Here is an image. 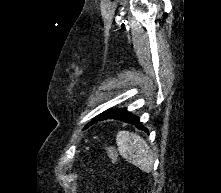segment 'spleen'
I'll list each match as a JSON object with an SVG mask.
<instances>
[{
	"label": "spleen",
	"instance_id": "1",
	"mask_svg": "<svg viewBox=\"0 0 221 193\" xmlns=\"http://www.w3.org/2000/svg\"><path fill=\"white\" fill-rule=\"evenodd\" d=\"M116 143L124 159L145 172H151L153 156L150 147L141 136L129 131H120L117 134Z\"/></svg>",
	"mask_w": 221,
	"mask_h": 193
}]
</instances>
